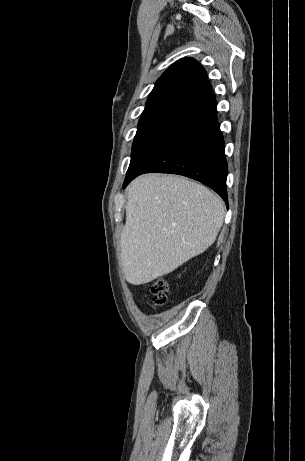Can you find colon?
Here are the masks:
<instances>
[{"mask_svg": "<svg viewBox=\"0 0 305 461\" xmlns=\"http://www.w3.org/2000/svg\"><path fill=\"white\" fill-rule=\"evenodd\" d=\"M149 294L155 306L160 307L167 303L168 284L162 278H156L148 283Z\"/></svg>", "mask_w": 305, "mask_h": 461, "instance_id": "1", "label": "colon"}]
</instances>
